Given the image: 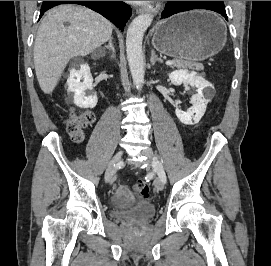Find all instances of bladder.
Masks as SVG:
<instances>
[{
    "mask_svg": "<svg viewBox=\"0 0 271 266\" xmlns=\"http://www.w3.org/2000/svg\"><path fill=\"white\" fill-rule=\"evenodd\" d=\"M155 206L147 201L139 202L126 210L117 207L113 208V212L127 221L134 223H144L155 215Z\"/></svg>",
    "mask_w": 271,
    "mask_h": 266,
    "instance_id": "obj_1",
    "label": "bladder"
}]
</instances>
